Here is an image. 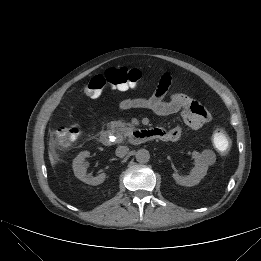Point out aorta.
<instances>
[{"label":"aorta","instance_id":"1","mask_svg":"<svg viewBox=\"0 0 261 261\" xmlns=\"http://www.w3.org/2000/svg\"><path fill=\"white\" fill-rule=\"evenodd\" d=\"M135 157H136L137 162H139V163H147L149 161V159H150V153L146 149H139L136 152Z\"/></svg>","mask_w":261,"mask_h":261}]
</instances>
